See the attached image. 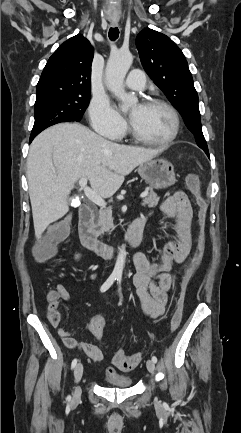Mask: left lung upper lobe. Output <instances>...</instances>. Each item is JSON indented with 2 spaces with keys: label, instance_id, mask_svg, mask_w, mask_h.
I'll return each instance as SVG.
<instances>
[{
  "label": "left lung upper lobe",
  "instance_id": "5c2ea615",
  "mask_svg": "<svg viewBox=\"0 0 241 433\" xmlns=\"http://www.w3.org/2000/svg\"><path fill=\"white\" fill-rule=\"evenodd\" d=\"M136 46L147 74L179 109L197 145L208 150L201 128L198 95L180 48L168 36L149 28L138 34Z\"/></svg>",
  "mask_w": 241,
  "mask_h": 433
}]
</instances>
